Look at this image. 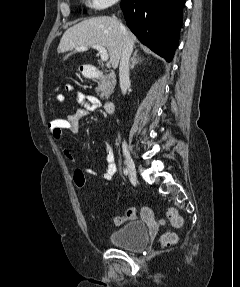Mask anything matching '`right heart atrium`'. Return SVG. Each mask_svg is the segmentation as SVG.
Returning a JSON list of instances; mask_svg holds the SVG:
<instances>
[{"label": "right heart atrium", "instance_id": "d8ad5b80", "mask_svg": "<svg viewBox=\"0 0 240 287\" xmlns=\"http://www.w3.org/2000/svg\"><path fill=\"white\" fill-rule=\"evenodd\" d=\"M119 0H85L87 6L91 9L95 10H102L106 9L115 3H117Z\"/></svg>", "mask_w": 240, "mask_h": 287}]
</instances>
